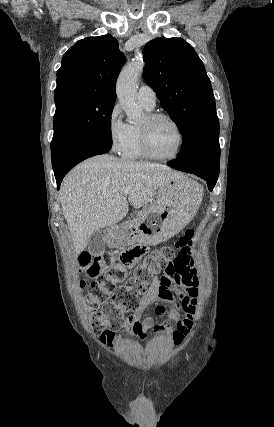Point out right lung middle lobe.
I'll list each match as a JSON object with an SVG mask.
<instances>
[{
  "label": "right lung middle lobe",
  "mask_w": 274,
  "mask_h": 427,
  "mask_svg": "<svg viewBox=\"0 0 274 427\" xmlns=\"http://www.w3.org/2000/svg\"><path fill=\"white\" fill-rule=\"evenodd\" d=\"M115 100L114 96H89L56 104L52 166L87 143L111 142V114Z\"/></svg>",
  "instance_id": "obj_1"
}]
</instances>
